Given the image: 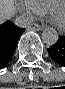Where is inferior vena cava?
<instances>
[{"mask_svg": "<svg viewBox=\"0 0 65 89\" xmlns=\"http://www.w3.org/2000/svg\"><path fill=\"white\" fill-rule=\"evenodd\" d=\"M15 24L18 26V27H21V28H27V27H30L31 24H32V21L30 18L24 16V15H21L19 16L18 18H16L15 20Z\"/></svg>", "mask_w": 65, "mask_h": 89, "instance_id": "1", "label": "inferior vena cava"}]
</instances>
